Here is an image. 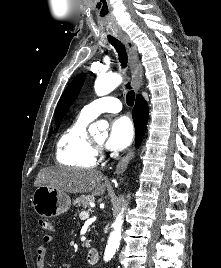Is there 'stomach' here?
<instances>
[{
  "label": "stomach",
  "mask_w": 221,
  "mask_h": 268,
  "mask_svg": "<svg viewBox=\"0 0 221 268\" xmlns=\"http://www.w3.org/2000/svg\"><path fill=\"white\" fill-rule=\"evenodd\" d=\"M32 205L40 216L52 218L67 212L71 206V199L64 191L42 185L34 191Z\"/></svg>",
  "instance_id": "obj_1"
}]
</instances>
